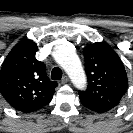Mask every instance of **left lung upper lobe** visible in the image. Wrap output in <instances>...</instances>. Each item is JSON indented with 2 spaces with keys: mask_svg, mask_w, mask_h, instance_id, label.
<instances>
[{
  "mask_svg": "<svg viewBox=\"0 0 133 133\" xmlns=\"http://www.w3.org/2000/svg\"><path fill=\"white\" fill-rule=\"evenodd\" d=\"M83 53L88 87L79 91L81 103L92 111L107 112L119 104L126 92L125 67L117 53L103 42L85 47Z\"/></svg>",
  "mask_w": 133,
  "mask_h": 133,
  "instance_id": "5c2ea615",
  "label": "left lung upper lobe"
}]
</instances>
